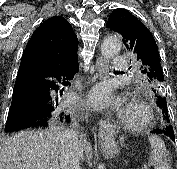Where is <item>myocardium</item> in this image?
<instances>
[{
    "label": "myocardium",
    "mask_w": 177,
    "mask_h": 169,
    "mask_svg": "<svg viewBox=\"0 0 177 169\" xmlns=\"http://www.w3.org/2000/svg\"><path fill=\"white\" fill-rule=\"evenodd\" d=\"M118 118L124 128L140 131L150 124L152 112L140 99L132 98L120 111Z\"/></svg>",
    "instance_id": "f54148a6"
}]
</instances>
